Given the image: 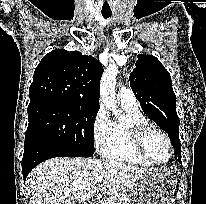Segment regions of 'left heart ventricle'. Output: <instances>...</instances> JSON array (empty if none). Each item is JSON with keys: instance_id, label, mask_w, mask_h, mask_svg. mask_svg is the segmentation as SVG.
Returning a JSON list of instances; mask_svg holds the SVG:
<instances>
[{"instance_id": "1", "label": "left heart ventricle", "mask_w": 206, "mask_h": 204, "mask_svg": "<svg viewBox=\"0 0 206 204\" xmlns=\"http://www.w3.org/2000/svg\"><path fill=\"white\" fill-rule=\"evenodd\" d=\"M148 154L156 161H165L169 156V147L165 139L157 132H151L145 141Z\"/></svg>"}]
</instances>
